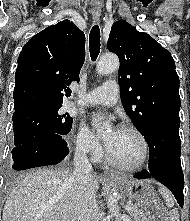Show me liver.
<instances>
[{
    "label": "liver",
    "mask_w": 190,
    "mask_h": 221,
    "mask_svg": "<svg viewBox=\"0 0 190 221\" xmlns=\"http://www.w3.org/2000/svg\"><path fill=\"white\" fill-rule=\"evenodd\" d=\"M95 191L100 180L92 176ZM77 193L68 170L37 169L14 181L5 202L3 221H76Z\"/></svg>",
    "instance_id": "1"
}]
</instances>
